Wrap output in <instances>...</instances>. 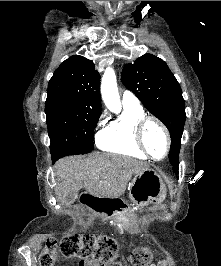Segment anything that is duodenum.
Masks as SVG:
<instances>
[{"instance_id":"duodenum-1","label":"duodenum","mask_w":221,"mask_h":266,"mask_svg":"<svg viewBox=\"0 0 221 266\" xmlns=\"http://www.w3.org/2000/svg\"><path fill=\"white\" fill-rule=\"evenodd\" d=\"M95 195H98V192H95ZM92 190L83 191L82 198L79 199L80 203H83L84 206H88L89 213H92V216H96V219H100V222H106V219L110 218V214L113 212L120 213L123 208V202L118 197H106V194H99V198H95ZM105 210V211H96V210ZM124 225H128V222L122 220Z\"/></svg>"}]
</instances>
